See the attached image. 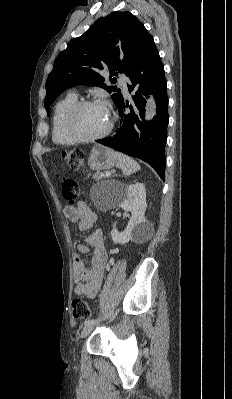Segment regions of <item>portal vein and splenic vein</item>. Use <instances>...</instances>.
<instances>
[{
    "instance_id": "portal-vein-and-splenic-vein-1",
    "label": "portal vein and splenic vein",
    "mask_w": 232,
    "mask_h": 399,
    "mask_svg": "<svg viewBox=\"0 0 232 399\" xmlns=\"http://www.w3.org/2000/svg\"><path fill=\"white\" fill-rule=\"evenodd\" d=\"M106 176H111L110 172H106Z\"/></svg>"
}]
</instances>
